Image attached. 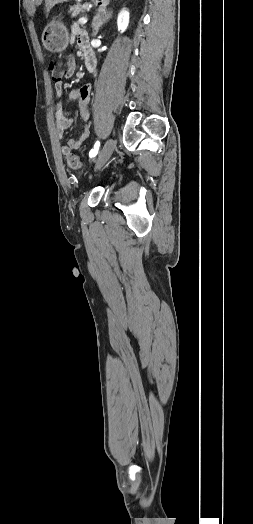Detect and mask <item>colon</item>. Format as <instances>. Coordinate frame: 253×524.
Instances as JSON below:
<instances>
[{"label":"colon","instance_id":"1","mask_svg":"<svg viewBox=\"0 0 253 524\" xmlns=\"http://www.w3.org/2000/svg\"><path fill=\"white\" fill-rule=\"evenodd\" d=\"M49 69H50V72H51L52 80L55 81V82H60V81H62L61 80V75L63 73H65L67 67H66V64H64L63 62H61L59 60H52L49 63ZM67 160H68L69 166L72 169H80L82 167L81 160L76 155L70 154L67 157Z\"/></svg>","mask_w":253,"mask_h":524}]
</instances>
